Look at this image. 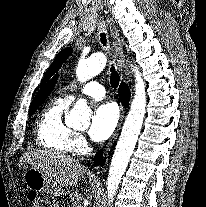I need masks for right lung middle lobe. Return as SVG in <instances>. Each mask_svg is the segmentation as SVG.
<instances>
[{"instance_id":"obj_1","label":"right lung middle lobe","mask_w":206,"mask_h":207,"mask_svg":"<svg viewBox=\"0 0 206 207\" xmlns=\"http://www.w3.org/2000/svg\"><path fill=\"white\" fill-rule=\"evenodd\" d=\"M37 108H38V107L30 109V111H29V115L31 116V115L36 111Z\"/></svg>"}]
</instances>
